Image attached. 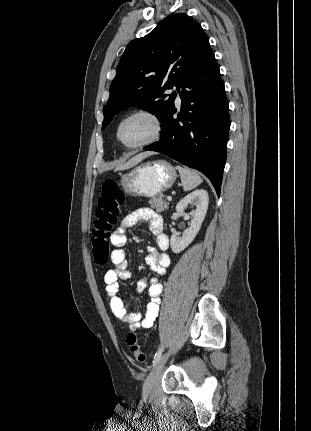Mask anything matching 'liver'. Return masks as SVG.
<instances>
[{"instance_id":"obj_1","label":"liver","mask_w":311,"mask_h":431,"mask_svg":"<svg viewBox=\"0 0 311 431\" xmlns=\"http://www.w3.org/2000/svg\"><path fill=\"white\" fill-rule=\"evenodd\" d=\"M153 152H142V154H137V156H133L130 160H123L119 166H117V170H129V168H133V166H137L140 164L142 160L148 158V156H152Z\"/></svg>"}]
</instances>
